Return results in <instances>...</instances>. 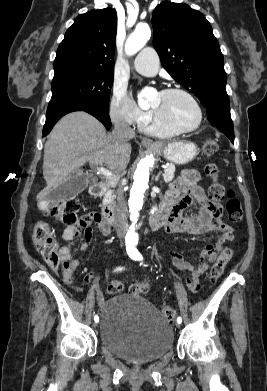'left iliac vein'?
Here are the masks:
<instances>
[{"label":"left iliac vein","mask_w":267,"mask_h":391,"mask_svg":"<svg viewBox=\"0 0 267 391\" xmlns=\"http://www.w3.org/2000/svg\"><path fill=\"white\" fill-rule=\"evenodd\" d=\"M176 327H178V328H179V327H180V323H178V322H177V323H176Z\"/></svg>","instance_id":"1"}]
</instances>
